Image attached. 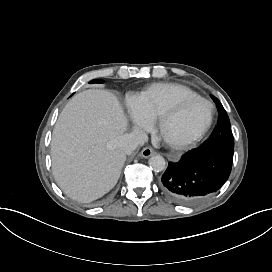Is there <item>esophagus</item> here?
<instances>
[{
    "label": "esophagus",
    "mask_w": 272,
    "mask_h": 272,
    "mask_svg": "<svg viewBox=\"0 0 272 272\" xmlns=\"http://www.w3.org/2000/svg\"><path fill=\"white\" fill-rule=\"evenodd\" d=\"M154 153H155V151L152 148L146 147V148L142 149L140 155L143 158H148V157L152 156Z\"/></svg>",
    "instance_id": "1"
}]
</instances>
